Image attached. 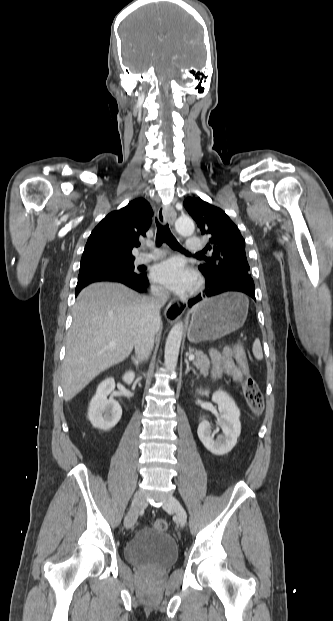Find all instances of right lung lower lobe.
<instances>
[{
	"label": "right lung lower lobe",
	"mask_w": 333,
	"mask_h": 621,
	"mask_svg": "<svg viewBox=\"0 0 333 621\" xmlns=\"http://www.w3.org/2000/svg\"><path fill=\"white\" fill-rule=\"evenodd\" d=\"M100 281L119 282L140 293L147 292L149 286L145 273L136 271L124 273L106 269L86 270L79 272L76 296L85 286Z\"/></svg>",
	"instance_id": "right-lung-lower-lobe-1"
}]
</instances>
